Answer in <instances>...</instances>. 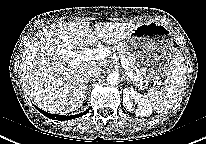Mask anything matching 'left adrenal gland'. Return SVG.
<instances>
[{"instance_id": "1", "label": "left adrenal gland", "mask_w": 206, "mask_h": 144, "mask_svg": "<svg viewBox=\"0 0 206 144\" xmlns=\"http://www.w3.org/2000/svg\"><path fill=\"white\" fill-rule=\"evenodd\" d=\"M124 77L127 80V83H131V80L126 75H124Z\"/></svg>"}]
</instances>
